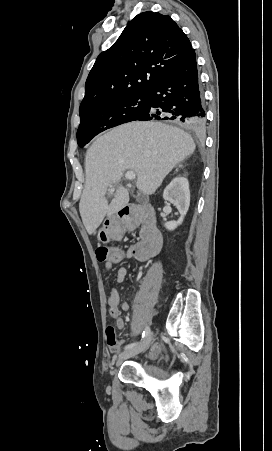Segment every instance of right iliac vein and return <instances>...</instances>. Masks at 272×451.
<instances>
[{
  "mask_svg": "<svg viewBox=\"0 0 272 451\" xmlns=\"http://www.w3.org/2000/svg\"><path fill=\"white\" fill-rule=\"evenodd\" d=\"M152 340V334L147 335L141 342L136 346H133L121 353L117 361V365H120L125 359L138 355L145 351Z\"/></svg>",
  "mask_w": 272,
  "mask_h": 451,
  "instance_id": "63e3f726",
  "label": "right iliac vein"
}]
</instances>
